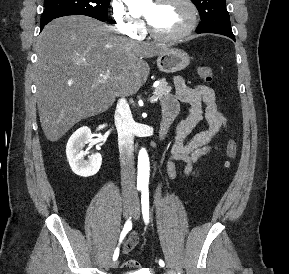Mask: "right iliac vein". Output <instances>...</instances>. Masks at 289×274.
Segmentation results:
<instances>
[{"label":"right iliac vein","mask_w":289,"mask_h":274,"mask_svg":"<svg viewBox=\"0 0 289 274\" xmlns=\"http://www.w3.org/2000/svg\"><path fill=\"white\" fill-rule=\"evenodd\" d=\"M133 212L132 201L131 199H125L123 205L124 217L128 218ZM118 261H114L110 264V268H117Z\"/></svg>","instance_id":"1"}]
</instances>
